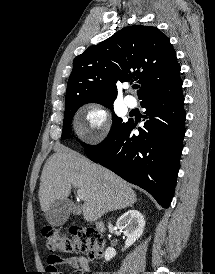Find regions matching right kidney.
<instances>
[{"mask_svg":"<svg viewBox=\"0 0 215 274\" xmlns=\"http://www.w3.org/2000/svg\"><path fill=\"white\" fill-rule=\"evenodd\" d=\"M116 227L127 237L123 250L129 248L143 234L145 227L144 216L137 210H129L121 215L116 222ZM116 255L113 247L105 251V260L109 261Z\"/></svg>","mask_w":215,"mask_h":274,"instance_id":"ca27d5eb","label":"right kidney"}]
</instances>
